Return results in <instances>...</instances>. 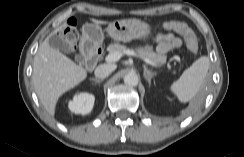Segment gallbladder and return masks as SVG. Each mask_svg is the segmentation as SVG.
<instances>
[{
	"label": "gallbladder",
	"instance_id": "1",
	"mask_svg": "<svg viewBox=\"0 0 244 157\" xmlns=\"http://www.w3.org/2000/svg\"><path fill=\"white\" fill-rule=\"evenodd\" d=\"M48 43L54 49L60 50L65 54H72V48L62 36L51 35L49 36ZM73 56L77 62L82 63L83 58L81 55L73 54Z\"/></svg>",
	"mask_w": 244,
	"mask_h": 157
}]
</instances>
